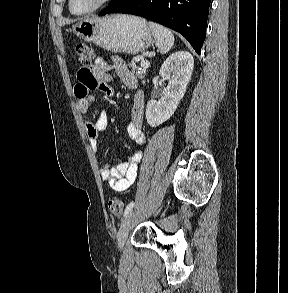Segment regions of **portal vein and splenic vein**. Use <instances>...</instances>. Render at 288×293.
Returning a JSON list of instances; mask_svg holds the SVG:
<instances>
[{"label": "portal vein and splenic vein", "mask_w": 288, "mask_h": 293, "mask_svg": "<svg viewBox=\"0 0 288 293\" xmlns=\"http://www.w3.org/2000/svg\"><path fill=\"white\" fill-rule=\"evenodd\" d=\"M150 65L149 61L147 59H142L141 61V66L142 67H145V68H148Z\"/></svg>", "instance_id": "1"}]
</instances>
